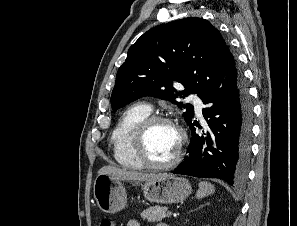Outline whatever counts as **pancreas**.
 <instances>
[{
  "instance_id": "obj_1",
  "label": "pancreas",
  "mask_w": 297,
  "mask_h": 226,
  "mask_svg": "<svg viewBox=\"0 0 297 226\" xmlns=\"http://www.w3.org/2000/svg\"><path fill=\"white\" fill-rule=\"evenodd\" d=\"M166 217H170L167 213V208L162 206H152L141 213V218L146 219L149 222H158Z\"/></svg>"
}]
</instances>
